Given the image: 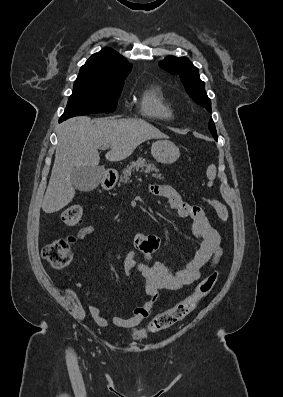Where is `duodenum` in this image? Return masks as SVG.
<instances>
[{"label": "duodenum", "instance_id": "duodenum-1", "mask_svg": "<svg viewBox=\"0 0 283 397\" xmlns=\"http://www.w3.org/2000/svg\"><path fill=\"white\" fill-rule=\"evenodd\" d=\"M114 178L112 177H108L107 179H105V181L103 182V187L105 189H110L111 187H113L114 185Z\"/></svg>", "mask_w": 283, "mask_h": 397}]
</instances>
